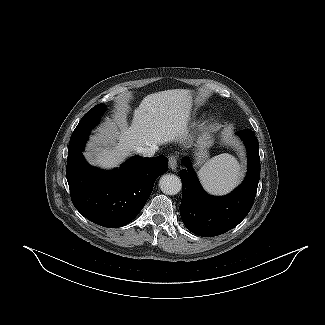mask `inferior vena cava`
I'll return each mask as SVG.
<instances>
[{"mask_svg":"<svg viewBox=\"0 0 325 325\" xmlns=\"http://www.w3.org/2000/svg\"><path fill=\"white\" fill-rule=\"evenodd\" d=\"M157 149H158L157 146H145V147H139L137 149V152L142 154L144 157H153Z\"/></svg>","mask_w":325,"mask_h":325,"instance_id":"inferior-vena-cava-1","label":"inferior vena cava"}]
</instances>
